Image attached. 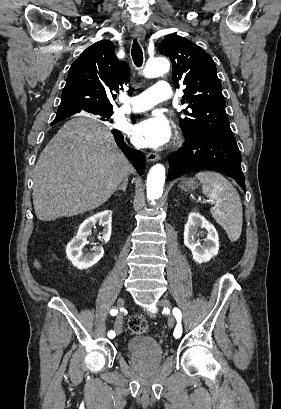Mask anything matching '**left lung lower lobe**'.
Instances as JSON below:
<instances>
[{
	"label": "left lung lower lobe",
	"instance_id": "1",
	"mask_svg": "<svg viewBox=\"0 0 281 409\" xmlns=\"http://www.w3.org/2000/svg\"><path fill=\"white\" fill-rule=\"evenodd\" d=\"M169 157L168 180L196 170H217L237 181L246 192L241 154L234 138L199 133Z\"/></svg>",
	"mask_w": 281,
	"mask_h": 409
}]
</instances>
